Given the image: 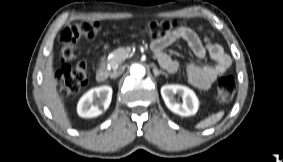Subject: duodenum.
Returning <instances> with one entry per match:
<instances>
[{
  "label": "duodenum",
  "instance_id": "duodenum-1",
  "mask_svg": "<svg viewBox=\"0 0 283 162\" xmlns=\"http://www.w3.org/2000/svg\"><path fill=\"white\" fill-rule=\"evenodd\" d=\"M108 69L104 64H101L96 71V80L98 82H104L108 78Z\"/></svg>",
  "mask_w": 283,
  "mask_h": 162
}]
</instances>
